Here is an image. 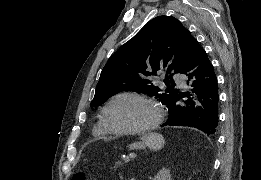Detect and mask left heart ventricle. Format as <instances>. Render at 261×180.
Segmentation results:
<instances>
[{
  "label": "left heart ventricle",
  "mask_w": 261,
  "mask_h": 180,
  "mask_svg": "<svg viewBox=\"0 0 261 180\" xmlns=\"http://www.w3.org/2000/svg\"><path fill=\"white\" fill-rule=\"evenodd\" d=\"M151 116V105L137 97L120 98L107 111L110 126L118 132H141Z\"/></svg>",
  "instance_id": "left-heart-ventricle-1"
}]
</instances>
